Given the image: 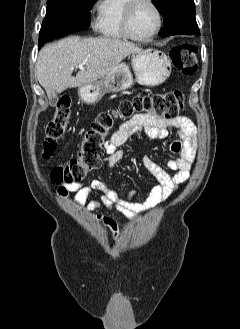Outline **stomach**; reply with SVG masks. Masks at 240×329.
I'll list each match as a JSON object with an SVG mask.
<instances>
[{"label":"stomach","instance_id":"obj_1","mask_svg":"<svg viewBox=\"0 0 240 329\" xmlns=\"http://www.w3.org/2000/svg\"><path fill=\"white\" fill-rule=\"evenodd\" d=\"M132 69L139 84L154 87L162 84L171 73V62L167 55L156 49L133 53ZM133 76L128 65L119 63L101 79L79 87L80 99L87 104L97 103L106 93L119 92L133 85Z\"/></svg>","mask_w":240,"mask_h":329}]
</instances>
